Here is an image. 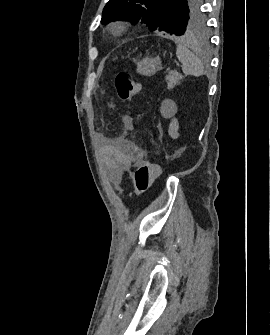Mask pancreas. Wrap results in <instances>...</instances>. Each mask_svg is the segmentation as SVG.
I'll return each mask as SVG.
<instances>
[{"label": "pancreas", "instance_id": "1", "mask_svg": "<svg viewBox=\"0 0 270 335\" xmlns=\"http://www.w3.org/2000/svg\"><path fill=\"white\" fill-rule=\"evenodd\" d=\"M183 76L179 74V72H169L168 76H166L165 80L167 82V90H172L176 84H180V80H182Z\"/></svg>", "mask_w": 270, "mask_h": 335}]
</instances>
